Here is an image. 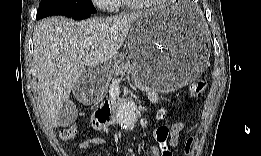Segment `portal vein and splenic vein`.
Returning <instances> with one entry per match:
<instances>
[{"mask_svg":"<svg viewBox=\"0 0 261 156\" xmlns=\"http://www.w3.org/2000/svg\"><path fill=\"white\" fill-rule=\"evenodd\" d=\"M84 57H85V54L79 55V58H84Z\"/></svg>","mask_w":261,"mask_h":156,"instance_id":"18ae733b","label":"portal vein and splenic vein"}]
</instances>
